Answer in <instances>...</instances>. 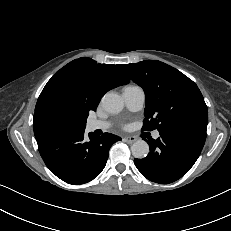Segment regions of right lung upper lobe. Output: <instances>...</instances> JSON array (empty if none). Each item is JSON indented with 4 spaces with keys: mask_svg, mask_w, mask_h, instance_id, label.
<instances>
[{
    "mask_svg": "<svg viewBox=\"0 0 231 231\" xmlns=\"http://www.w3.org/2000/svg\"><path fill=\"white\" fill-rule=\"evenodd\" d=\"M128 82L119 65L97 64L88 57L71 61L53 75L38 98L33 120L35 137L44 135L45 113L54 102L76 101L89 114L91 110L96 111L107 91Z\"/></svg>",
    "mask_w": 231,
    "mask_h": 231,
    "instance_id": "obj_1",
    "label": "right lung upper lobe"
}]
</instances>
